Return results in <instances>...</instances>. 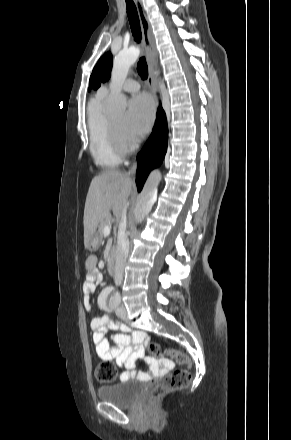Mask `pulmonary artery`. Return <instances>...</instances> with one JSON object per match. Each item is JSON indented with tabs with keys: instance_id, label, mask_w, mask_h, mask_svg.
I'll list each match as a JSON object with an SVG mask.
<instances>
[{
	"instance_id": "e3ab8cb5",
	"label": "pulmonary artery",
	"mask_w": 291,
	"mask_h": 440,
	"mask_svg": "<svg viewBox=\"0 0 291 440\" xmlns=\"http://www.w3.org/2000/svg\"><path fill=\"white\" fill-rule=\"evenodd\" d=\"M139 88H140L139 82L134 80V79H132V78L127 79L124 82V84L122 85V89L124 91H126V92H136V91L139 90ZM99 92L102 95H107L108 94L107 86H101L100 89H99Z\"/></svg>"
}]
</instances>
